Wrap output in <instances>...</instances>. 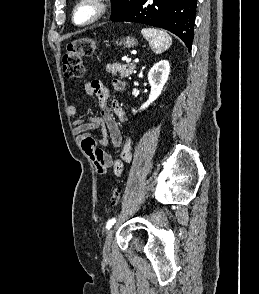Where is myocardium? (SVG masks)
<instances>
[{"label":"myocardium","instance_id":"obj_1","mask_svg":"<svg viewBox=\"0 0 259 294\" xmlns=\"http://www.w3.org/2000/svg\"><path fill=\"white\" fill-rule=\"evenodd\" d=\"M86 5H93L95 7L94 15L86 21L79 22L77 20L78 12ZM110 7L109 0H79L72 11V21L78 26H88L103 18Z\"/></svg>","mask_w":259,"mask_h":294}]
</instances>
